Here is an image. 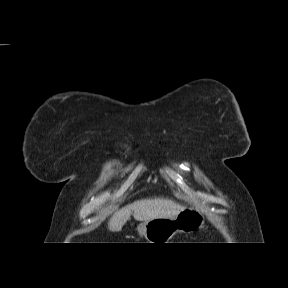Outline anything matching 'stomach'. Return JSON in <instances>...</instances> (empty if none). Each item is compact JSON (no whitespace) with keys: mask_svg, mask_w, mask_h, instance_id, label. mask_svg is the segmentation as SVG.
<instances>
[{"mask_svg":"<svg viewBox=\"0 0 288 288\" xmlns=\"http://www.w3.org/2000/svg\"><path fill=\"white\" fill-rule=\"evenodd\" d=\"M203 211L198 207L182 210L175 217H159L144 221L137 227L138 233L148 243H168L178 232L190 233L204 225Z\"/></svg>","mask_w":288,"mask_h":288,"instance_id":"obj_1","label":"stomach"}]
</instances>
